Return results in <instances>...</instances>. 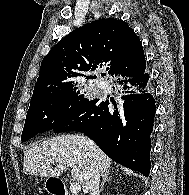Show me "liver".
<instances>
[{"label": "liver", "instance_id": "6515ba94", "mask_svg": "<svg viewBox=\"0 0 189 195\" xmlns=\"http://www.w3.org/2000/svg\"><path fill=\"white\" fill-rule=\"evenodd\" d=\"M111 159L89 138L78 134L56 136L35 144L24 153L23 172L29 175L58 178L63 171L54 164L70 167L72 179L84 193L90 189L93 172L109 171Z\"/></svg>", "mask_w": 189, "mask_h": 195}]
</instances>
